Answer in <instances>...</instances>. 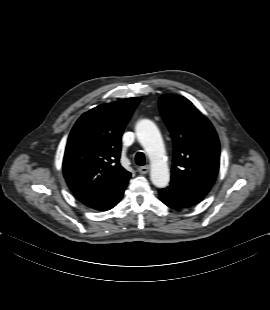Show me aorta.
I'll return each mask as SVG.
<instances>
[{"label":"aorta","mask_w":270,"mask_h":310,"mask_svg":"<svg viewBox=\"0 0 270 310\" xmlns=\"http://www.w3.org/2000/svg\"><path fill=\"white\" fill-rule=\"evenodd\" d=\"M137 138L151 161L150 178L158 188H164L170 180L168 165L165 161V148L159 129L150 120H140L135 128Z\"/></svg>","instance_id":"762f6f07"}]
</instances>
